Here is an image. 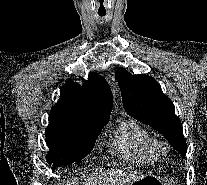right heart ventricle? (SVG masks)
Returning <instances> with one entry per match:
<instances>
[{"label":"right heart ventricle","instance_id":"e07e8e85","mask_svg":"<svg viewBox=\"0 0 207 185\" xmlns=\"http://www.w3.org/2000/svg\"><path fill=\"white\" fill-rule=\"evenodd\" d=\"M116 143L120 150L135 162L153 163L160 156L152 135L133 120H126L120 125Z\"/></svg>","mask_w":207,"mask_h":185}]
</instances>
